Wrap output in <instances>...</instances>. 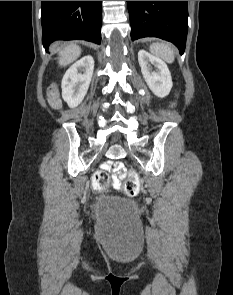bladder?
<instances>
[{
    "instance_id": "1",
    "label": "bladder",
    "mask_w": 233,
    "mask_h": 295,
    "mask_svg": "<svg viewBox=\"0 0 233 295\" xmlns=\"http://www.w3.org/2000/svg\"><path fill=\"white\" fill-rule=\"evenodd\" d=\"M100 218L104 220H135V205L124 198L100 195L95 203Z\"/></svg>"
}]
</instances>
